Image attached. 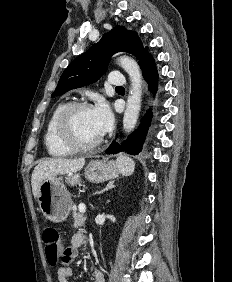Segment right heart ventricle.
I'll return each mask as SVG.
<instances>
[{
	"mask_svg": "<svg viewBox=\"0 0 232 282\" xmlns=\"http://www.w3.org/2000/svg\"><path fill=\"white\" fill-rule=\"evenodd\" d=\"M66 103L58 104L52 111L50 118L47 122L44 143L49 155L53 157H65L73 153V150L63 145L57 138L56 135V122L60 112L66 106Z\"/></svg>",
	"mask_w": 232,
	"mask_h": 282,
	"instance_id": "1",
	"label": "right heart ventricle"
}]
</instances>
